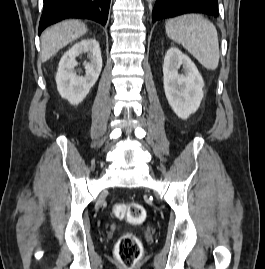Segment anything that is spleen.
<instances>
[{"instance_id": "spleen-1", "label": "spleen", "mask_w": 265, "mask_h": 269, "mask_svg": "<svg viewBox=\"0 0 265 269\" xmlns=\"http://www.w3.org/2000/svg\"><path fill=\"white\" fill-rule=\"evenodd\" d=\"M167 36L182 45L208 70L219 64V42L215 26L199 14H185L166 21Z\"/></svg>"}]
</instances>
